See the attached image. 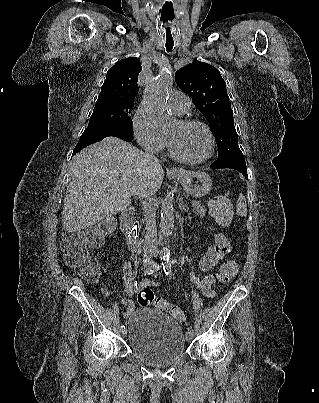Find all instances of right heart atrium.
Returning a JSON list of instances; mask_svg holds the SVG:
<instances>
[{
	"label": "right heart atrium",
	"mask_w": 319,
	"mask_h": 403,
	"mask_svg": "<svg viewBox=\"0 0 319 403\" xmlns=\"http://www.w3.org/2000/svg\"><path fill=\"white\" fill-rule=\"evenodd\" d=\"M132 130L137 143L147 152L160 154L165 149L166 139L142 107L138 108L133 115Z\"/></svg>",
	"instance_id": "d8ad5b80"
}]
</instances>
